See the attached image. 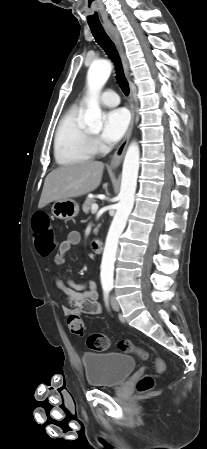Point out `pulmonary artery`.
I'll list each match as a JSON object with an SVG mask.
<instances>
[{
    "instance_id": "1",
    "label": "pulmonary artery",
    "mask_w": 207,
    "mask_h": 449,
    "mask_svg": "<svg viewBox=\"0 0 207 449\" xmlns=\"http://www.w3.org/2000/svg\"><path fill=\"white\" fill-rule=\"evenodd\" d=\"M100 102L105 106L114 107L120 103V98L115 91L107 90L100 96Z\"/></svg>"
}]
</instances>
